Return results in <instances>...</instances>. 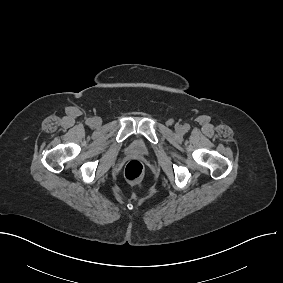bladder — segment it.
<instances>
[{"instance_id":"obj_1","label":"bladder","mask_w":283,"mask_h":283,"mask_svg":"<svg viewBox=\"0 0 283 283\" xmlns=\"http://www.w3.org/2000/svg\"><path fill=\"white\" fill-rule=\"evenodd\" d=\"M127 151L133 154L147 155L149 147L142 139H134L129 143Z\"/></svg>"}]
</instances>
